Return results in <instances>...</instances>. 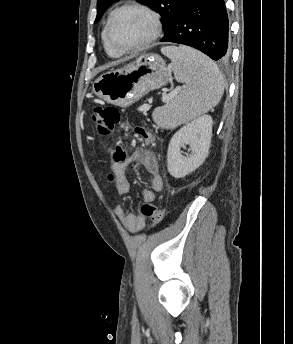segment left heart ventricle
<instances>
[{
	"instance_id": "b2bd125f",
	"label": "left heart ventricle",
	"mask_w": 293,
	"mask_h": 344,
	"mask_svg": "<svg viewBox=\"0 0 293 344\" xmlns=\"http://www.w3.org/2000/svg\"><path fill=\"white\" fill-rule=\"evenodd\" d=\"M149 18L142 12L127 9L118 13L111 25L112 42L120 48L142 42L150 33Z\"/></svg>"
}]
</instances>
